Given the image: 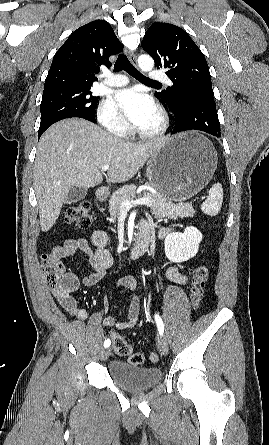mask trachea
<instances>
[{
    "instance_id": "trachea-1",
    "label": "trachea",
    "mask_w": 269,
    "mask_h": 445,
    "mask_svg": "<svg viewBox=\"0 0 269 445\" xmlns=\"http://www.w3.org/2000/svg\"><path fill=\"white\" fill-rule=\"evenodd\" d=\"M121 70L126 71L128 74L133 76L139 81L147 82V83H156L159 84L157 81H153L144 75H142L128 60L127 56L124 54H120L115 62L114 65V71L119 72Z\"/></svg>"
}]
</instances>
